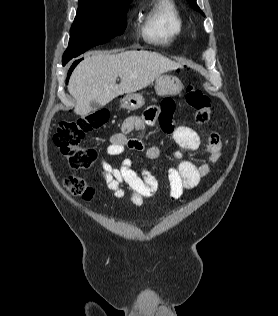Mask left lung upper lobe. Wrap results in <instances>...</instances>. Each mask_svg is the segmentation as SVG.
Segmentation results:
<instances>
[{
	"label": "left lung upper lobe",
	"instance_id": "5c2ea615",
	"mask_svg": "<svg viewBox=\"0 0 278 316\" xmlns=\"http://www.w3.org/2000/svg\"><path fill=\"white\" fill-rule=\"evenodd\" d=\"M188 2H189L190 6H191L193 9L199 11L203 16H205L204 13H203V12L200 10V8L197 6L196 0H188Z\"/></svg>",
	"mask_w": 278,
	"mask_h": 316
}]
</instances>
